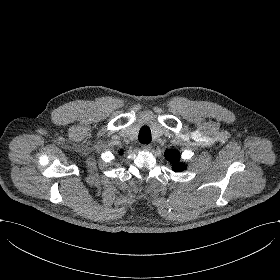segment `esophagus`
<instances>
[{
    "mask_svg": "<svg viewBox=\"0 0 280 280\" xmlns=\"http://www.w3.org/2000/svg\"><path fill=\"white\" fill-rule=\"evenodd\" d=\"M142 149L146 152L151 151L152 150V145L151 144H143Z\"/></svg>",
    "mask_w": 280,
    "mask_h": 280,
    "instance_id": "esophagus-1",
    "label": "esophagus"
}]
</instances>
